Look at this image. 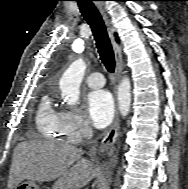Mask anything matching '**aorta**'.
<instances>
[{
	"label": "aorta",
	"instance_id": "1",
	"mask_svg": "<svg viewBox=\"0 0 188 189\" xmlns=\"http://www.w3.org/2000/svg\"><path fill=\"white\" fill-rule=\"evenodd\" d=\"M86 64L83 59L74 61L62 75L59 86L62 98L68 105H75L79 100V87L84 77ZM131 84L124 77L118 87V108L122 116H126L131 105Z\"/></svg>",
	"mask_w": 188,
	"mask_h": 189
}]
</instances>
